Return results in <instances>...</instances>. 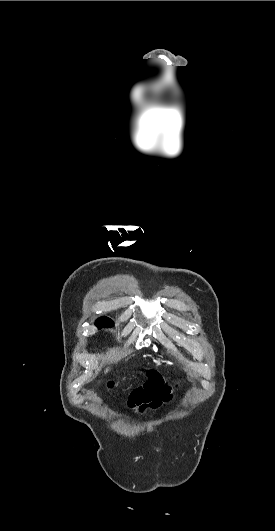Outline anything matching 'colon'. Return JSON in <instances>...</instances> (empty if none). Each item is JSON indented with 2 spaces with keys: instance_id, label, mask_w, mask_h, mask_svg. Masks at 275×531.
<instances>
[{
  "instance_id": "5ec220e1",
  "label": "colon",
  "mask_w": 275,
  "mask_h": 531,
  "mask_svg": "<svg viewBox=\"0 0 275 531\" xmlns=\"http://www.w3.org/2000/svg\"><path fill=\"white\" fill-rule=\"evenodd\" d=\"M147 372H157V371H155V370H148Z\"/></svg>"
}]
</instances>
